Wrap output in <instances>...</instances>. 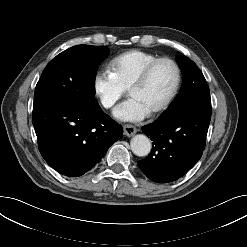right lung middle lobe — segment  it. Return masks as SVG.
Masks as SVG:
<instances>
[{"label":"right lung middle lobe","mask_w":247,"mask_h":247,"mask_svg":"<svg viewBox=\"0 0 247 247\" xmlns=\"http://www.w3.org/2000/svg\"><path fill=\"white\" fill-rule=\"evenodd\" d=\"M108 54L105 46L77 45L52 59L44 69L35 88L34 104L39 106L58 97L94 109L97 69Z\"/></svg>","instance_id":"obj_1"}]
</instances>
